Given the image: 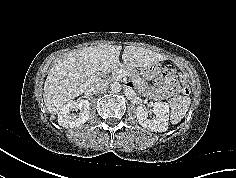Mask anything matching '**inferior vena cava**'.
Masks as SVG:
<instances>
[{
  "instance_id": "602c4592",
  "label": "inferior vena cava",
  "mask_w": 236,
  "mask_h": 178,
  "mask_svg": "<svg viewBox=\"0 0 236 178\" xmlns=\"http://www.w3.org/2000/svg\"><path fill=\"white\" fill-rule=\"evenodd\" d=\"M107 88H108V82L105 80H100L99 82L95 83L91 87L90 91L94 94L95 93H103L107 90Z\"/></svg>"
}]
</instances>
